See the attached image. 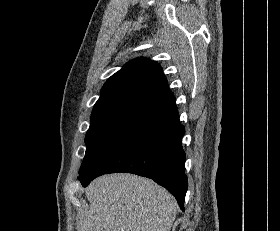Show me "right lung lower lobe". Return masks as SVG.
<instances>
[{"mask_svg": "<svg viewBox=\"0 0 280 231\" xmlns=\"http://www.w3.org/2000/svg\"><path fill=\"white\" fill-rule=\"evenodd\" d=\"M184 133L177 108L135 124L99 151L78 180L86 187L94 178L107 173L148 177L174 195L184 211L188 187L186 155L181 145Z\"/></svg>", "mask_w": 280, "mask_h": 231, "instance_id": "obj_1", "label": "right lung lower lobe"}]
</instances>
